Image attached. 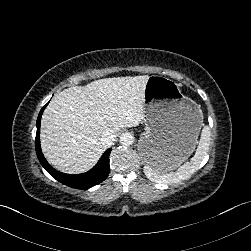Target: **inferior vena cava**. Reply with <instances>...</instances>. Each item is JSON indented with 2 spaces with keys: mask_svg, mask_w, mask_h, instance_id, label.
Masks as SVG:
<instances>
[{
  "mask_svg": "<svg viewBox=\"0 0 251 251\" xmlns=\"http://www.w3.org/2000/svg\"><path fill=\"white\" fill-rule=\"evenodd\" d=\"M101 144L104 147L111 146L116 141V134L111 129H106L100 138Z\"/></svg>",
  "mask_w": 251,
  "mask_h": 251,
  "instance_id": "obj_1",
  "label": "inferior vena cava"
}]
</instances>
